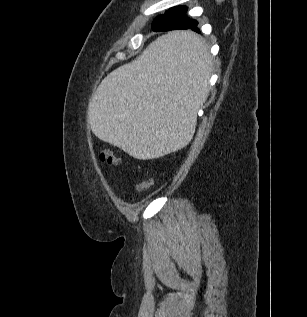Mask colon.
I'll use <instances>...</instances> for the list:
<instances>
[{
    "instance_id": "obj_1",
    "label": "colon",
    "mask_w": 307,
    "mask_h": 317,
    "mask_svg": "<svg viewBox=\"0 0 307 317\" xmlns=\"http://www.w3.org/2000/svg\"><path fill=\"white\" fill-rule=\"evenodd\" d=\"M99 160L107 165H118L121 160L110 149H102L99 153ZM154 185V178L148 177L135 186V191L140 193L149 190Z\"/></svg>"
}]
</instances>
